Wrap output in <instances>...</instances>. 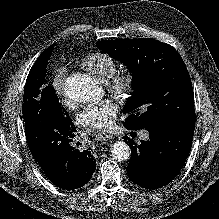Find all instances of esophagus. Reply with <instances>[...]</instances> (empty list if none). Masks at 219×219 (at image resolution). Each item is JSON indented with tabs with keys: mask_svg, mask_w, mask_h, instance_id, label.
<instances>
[{
	"mask_svg": "<svg viewBox=\"0 0 219 219\" xmlns=\"http://www.w3.org/2000/svg\"><path fill=\"white\" fill-rule=\"evenodd\" d=\"M96 137L99 138L100 140H108L111 139L112 136L105 131H98L96 133Z\"/></svg>",
	"mask_w": 219,
	"mask_h": 219,
	"instance_id": "34e87169",
	"label": "esophagus"
}]
</instances>
